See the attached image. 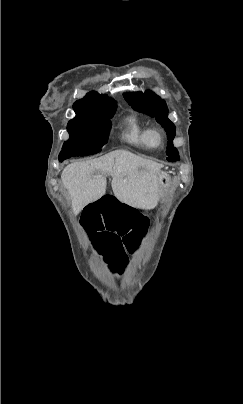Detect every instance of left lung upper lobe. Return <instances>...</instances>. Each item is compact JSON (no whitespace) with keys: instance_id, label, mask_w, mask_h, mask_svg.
Wrapping results in <instances>:
<instances>
[{"instance_id":"obj_1","label":"left lung upper lobe","mask_w":243,"mask_h":404,"mask_svg":"<svg viewBox=\"0 0 243 404\" xmlns=\"http://www.w3.org/2000/svg\"><path fill=\"white\" fill-rule=\"evenodd\" d=\"M124 98L135 110L156 118L158 123L167 132L169 140L166 150V154L168 155L167 160L171 162L179 160L178 151L172 144L175 136V125L167 117L166 102L149 91L144 94L141 92L125 93Z\"/></svg>"}]
</instances>
